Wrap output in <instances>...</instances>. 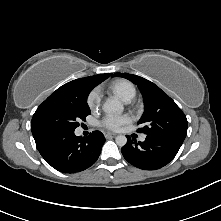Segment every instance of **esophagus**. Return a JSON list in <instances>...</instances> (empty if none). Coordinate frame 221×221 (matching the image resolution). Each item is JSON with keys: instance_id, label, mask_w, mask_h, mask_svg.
I'll use <instances>...</instances> for the list:
<instances>
[{"instance_id": "obj_1", "label": "esophagus", "mask_w": 221, "mask_h": 221, "mask_svg": "<svg viewBox=\"0 0 221 221\" xmlns=\"http://www.w3.org/2000/svg\"><path fill=\"white\" fill-rule=\"evenodd\" d=\"M104 135L105 137L116 136V134L112 132H106Z\"/></svg>"}]
</instances>
